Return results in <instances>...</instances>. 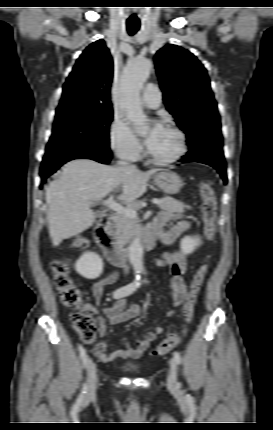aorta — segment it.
<instances>
[{
    "instance_id": "762f6f07",
    "label": "aorta",
    "mask_w": 273,
    "mask_h": 430,
    "mask_svg": "<svg viewBox=\"0 0 273 430\" xmlns=\"http://www.w3.org/2000/svg\"><path fill=\"white\" fill-rule=\"evenodd\" d=\"M152 67L153 63L148 58L133 59L127 64L122 78L121 90L126 116L129 121L137 126L139 132H144L147 129V117L140 105L139 95ZM128 259L135 272L144 270L143 248L139 238L130 244Z\"/></svg>"
}]
</instances>
